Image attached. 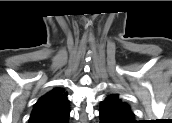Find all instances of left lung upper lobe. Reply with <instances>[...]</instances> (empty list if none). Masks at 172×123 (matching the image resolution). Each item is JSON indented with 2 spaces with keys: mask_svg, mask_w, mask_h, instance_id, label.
Listing matches in <instances>:
<instances>
[{
  "mask_svg": "<svg viewBox=\"0 0 172 123\" xmlns=\"http://www.w3.org/2000/svg\"><path fill=\"white\" fill-rule=\"evenodd\" d=\"M99 117L103 123H134V114L129 105L115 94L107 96L102 102Z\"/></svg>",
  "mask_w": 172,
  "mask_h": 123,
  "instance_id": "1",
  "label": "left lung upper lobe"
}]
</instances>
